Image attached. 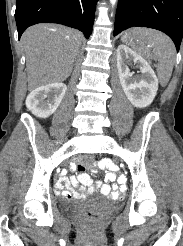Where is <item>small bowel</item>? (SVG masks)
Wrapping results in <instances>:
<instances>
[{
  "mask_svg": "<svg viewBox=\"0 0 183 246\" xmlns=\"http://www.w3.org/2000/svg\"><path fill=\"white\" fill-rule=\"evenodd\" d=\"M100 169L119 170L120 166L115 165V160L101 159L94 165ZM80 171L78 176H71L68 179V174H72V170H77V165H66V169H61V178L56 183V192L62 193L65 197L81 198L85 195L92 194L99 191L105 196L111 199H117L119 193H128V178L127 174H115L114 172H108L106 174V182L96 181L93 183L91 177L84 172L85 167L78 165ZM117 179L118 184L110 185L108 182Z\"/></svg>",
  "mask_w": 183,
  "mask_h": 246,
  "instance_id": "obj_1",
  "label": "small bowel"
}]
</instances>
